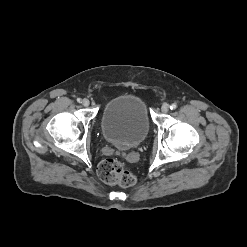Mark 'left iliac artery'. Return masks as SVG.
Listing matches in <instances>:
<instances>
[{"label": "left iliac artery", "instance_id": "obj_1", "mask_svg": "<svg viewBox=\"0 0 247 247\" xmlns=\"http://www.w3.org/2000/svg\"><path fill=\"white\" fill-rule=\"evenodd\" d=\"M176 108H177V104H175V103L171 104V106H170L171 110H175Z\"/></svg>", "mask_w": 247, "mask_h": 247}]
</instances>
